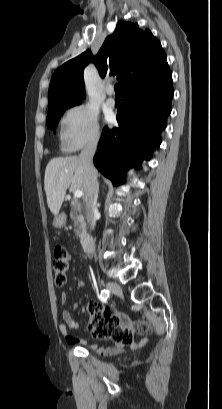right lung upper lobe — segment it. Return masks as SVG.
<instances>
[{"label": "right lung upper lobe", "instance_id": "1", "mask_svg": "<svg viewBox=\"0 0 222 409\" xmlns=\"http://www.w3.org/2000/svg\"><path fill=\"white\" fill-rule=\"evenodd\" d=\"M93 62L101 77L107 71L117 75L121 96L143 78H152L169 69L159 40L137 23L119 21L97 55L90 50L69 60L52 76L48 111L80 103L85 98L83 71Z\"/></svg>", "mask_w": 222, "mask_h": 409}]
</instances>
